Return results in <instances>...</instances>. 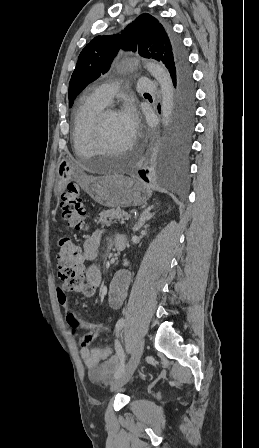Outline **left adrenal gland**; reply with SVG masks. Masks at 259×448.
<instances>
[{"instance_id":"1","label":"left adrenal gland","mask_w":259,"mask_h":448,"mask_svg":"<svg viewBox=\"0 0 259 448\" xmlns=\"http://www.w3.org/2000/svg\"><path fill=\"white\" fill-rule=\"evenodd\" d=\"M152 208H154V206H149V208H146V210H144V212H142V214H140V218L138 220V222H136L133 230L134 232H137V230H140V228H142V226H144L146 220H151L152 216H154V214H150V210H152Z\"/></svg>"}]
</instances>
